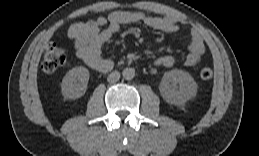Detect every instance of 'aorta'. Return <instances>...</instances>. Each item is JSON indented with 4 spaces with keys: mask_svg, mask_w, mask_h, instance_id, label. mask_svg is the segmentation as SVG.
Here are the masks:
<instances>
[{
    "mask_svg": "<svg viewBox=\"0 0 259 156\" xmlns=\"http://www.w3.org/2000/svg\"><path fill=\"white\" fill-rule=\"evenodd\" d=\"M123 78L126 80H131L135 76V70L133 68H125L122 71Z\"/></svg>",
    "mask_w": 259,
    "mask_h": 156,
    "instance_id": "762f6f07",
    "label": "aorta"
}]
</instances>
